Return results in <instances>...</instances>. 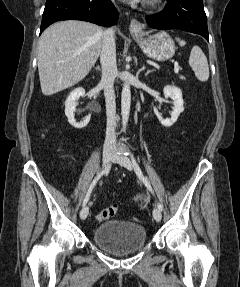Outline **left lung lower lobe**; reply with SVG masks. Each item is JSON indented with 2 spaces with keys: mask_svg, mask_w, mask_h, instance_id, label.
Instances as JSON below:
<instances>
[{
  "mask_svg": "<svg viewBox=\"0 0 240 287\" xmlns=\"http://www.w3.org/2000/svg\"><path fill=\"white\" fill-rule=\"evenodd\" d=\"M146 21L155 29H180L200 34L209 41L203 0H169L164 10L146 16Z\"/></svg>",
  "mask_w": 240,
  "mask_h": 287,
  "instance_id": "0a47b994",
  "label": "left lung lower lobe"
}]
</instances>
